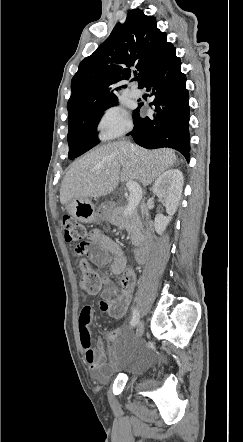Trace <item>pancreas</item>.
Instances as JSON below:
<instances>
[{
	"mask_svg": "<svg viewBox=\"0 0 243 442\" xmlns=\"http://www.w3.org/2000/svg\"><path fill=\"white\" fill-rule=\"evenodd\" d=\"M127 207H120L106 211L109 222L126 229L131 236L132 244L137 245L142 235L143 224L136 209L130 214H124Z\"/></svg>",
	"mask_w": 243,
	"mask_h": 442,
	"instance_id": "cf45deb5",
	"label": "pancreas"
}]
</instances>
